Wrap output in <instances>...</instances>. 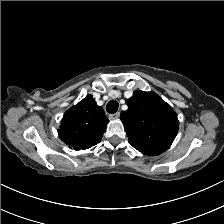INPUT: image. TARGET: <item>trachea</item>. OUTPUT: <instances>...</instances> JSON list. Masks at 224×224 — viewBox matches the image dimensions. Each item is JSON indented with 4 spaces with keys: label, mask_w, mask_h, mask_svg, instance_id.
<instances>
[{
    "label": "trachea",
    "mask_w": 224,
    "mask_h": 224,
    "mask_svg": "<svg viewBox=\"0 0 224 224\" xmlns=\"http://www.w3.org/2000/svg\"><path fill=\"white\" fill-rule=\"evenodd\" d=\"M118 102L115 100H111L107 106H106V110L108 113L110 114H114L117 110H118Z\"/></svg>",
    "instance_id": "obj_1"
}]
</instances>
